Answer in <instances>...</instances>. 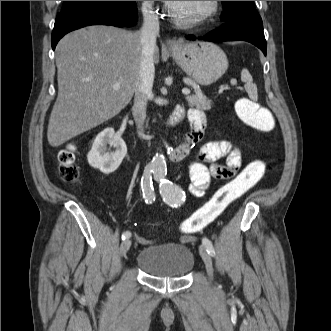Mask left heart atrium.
<instances>
[{"label": "left heart atrium", "mask_w": 331, "mask_h": 331, "mask_svg": "<svg viewBox=\"0 0 331 331\" xmlns=\"http://www.w3.org/2000/svg\"><path fill=\"white\" fill-rule=\"evenodd\" d=\"M167 4L171 5L172 3H175L176 1H165Z\"/></svg>", "instance_id": "39dd6f15"}]
</instances>
